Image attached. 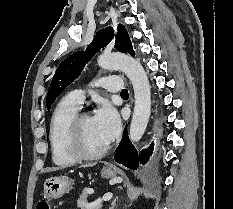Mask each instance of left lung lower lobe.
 <instances>
[{"instance_id": "left-lung-lower-lobe-1", "label": "left lung lower lobe", "mask_w": 233, "mask_h": 209, "mask_svg": "<svg viewBox=\"0 0 233 209\" xmlns=\"http://www.w3.org/2000/svg\"><path fill=\"white\" fill-rule=\"evenodd\" d=\"M153 144L149 149H146L140 153L138 158V153L135 147L131 144L127 134V128L124 130V135L120 144L117 147L115 153V161L119 164H123L131 170H136L139 165V161L143 164L148 161L149 156L152 154Z\"/></svg>"}]
</instances>
